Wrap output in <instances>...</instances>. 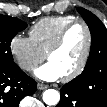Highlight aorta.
Wrapping results in <instances>:
<instances>
[{"mask_svg": "<svg viewBox=\"0 0 107 107\" xmlns=\"http://www.w3.org/2000/svg\"><path fill=\"white\" fill-rule=\"evenodd\" d=\"M60 100V94L55 89H48L43 93V101L48 106H55Z\"/></svg>", "mask_w": 107, "mask_h": 107, "instance_id": "762f6f07", "label": "aorta"}]
</instances>
